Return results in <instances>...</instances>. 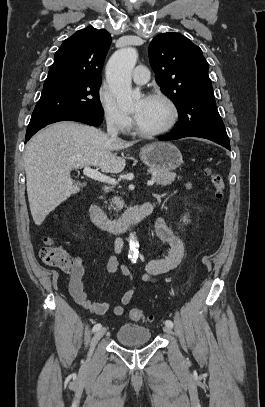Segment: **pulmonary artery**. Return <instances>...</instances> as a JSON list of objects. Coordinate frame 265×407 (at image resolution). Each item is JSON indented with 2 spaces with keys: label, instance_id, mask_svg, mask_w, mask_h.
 Listing matches in <instances>:
<instances>
[{
  "label": "pulmonary artery",
  "instance_id": "obj_1",
  "mask_svg": "<svg viewBox=\"0 0 265 407\" xmlns=\"http://www.w3.org/2000/svg\"><path fill=\"white\" fill-rule=\"evenodd\" d=\"M150 77V72L149 70L143 66V65H138L135 67L133 74H132V79L136 84H145L148 82Z\"/></svg>",
  "mask_w": 265,
  "mask_h": 407
}]
</instances>
